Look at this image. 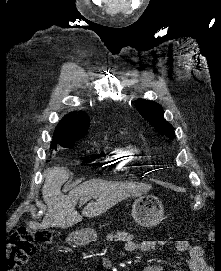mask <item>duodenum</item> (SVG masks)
I'll return each instance as SVG.
<instances>
[{"label":"duodenum","instance_id":"1","mask_svg":"<svg viewBox=\"0 0 221 271\" xmlns=\"http://www.w3.org/2000/svg\"><path fill=\"white\" fill-rule=\"evenodd\" d=\"M72 242L77 245H83L87 243V237L83 234H76L72 237Z\"/></svg>","mask_w":221,"mask_h":271}]
</instances>
